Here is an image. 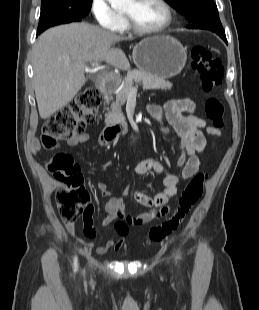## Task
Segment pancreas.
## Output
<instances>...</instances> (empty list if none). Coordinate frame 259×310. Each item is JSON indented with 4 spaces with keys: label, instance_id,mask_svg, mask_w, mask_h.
I'll return each mask as SVG.
<instances>
[{
    "label": "pancreas",
    "instance_id": "pancreas-1",
    "mask_svg": "<svg viewBox=\"0 0 259 310\" xmlns=\"http://www.w3.org/2000/svg\"><path fill=\"white\" fill-rule=\"evenodd\" d=\"M134 83H141L148 90H167L172 87L170 82L160 77H155L138 70L129 71L124 79L122 88L116 92L115 101L111 104L110 110L105 115V122L107 124H117L125 121L121 106L126 102Z\"/></svg>",
    "mask_w": 259,
    "mask_h": 310
}]
</instances>
